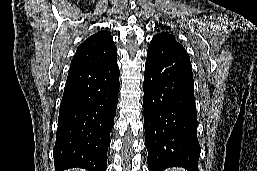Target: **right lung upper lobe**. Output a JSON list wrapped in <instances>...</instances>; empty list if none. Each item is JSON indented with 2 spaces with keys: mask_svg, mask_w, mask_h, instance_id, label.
Returning <instances> with one entry per match:
<instances>
[{
  "mask_svg": "<svg viewBox=\"0 0 257 171\" xmlns=\"http://www.w3.org/2000/svg\"><path fill=\"white\" fill-rule=\"evenodd\" d=\"M117 59V49L107 31H98L81 43L71 61L70 70L103 66Z\"/></svg>",
  "mask_w": 257,
  "mask_h": 171,
  "instance_id": "cb5924a9",
  "label": "right lung upper lobe"
}]
</instances>
